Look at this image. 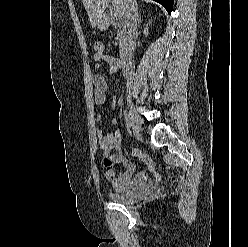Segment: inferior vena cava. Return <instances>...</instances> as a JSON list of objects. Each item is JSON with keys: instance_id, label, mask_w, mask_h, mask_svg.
<instances>
[{"instance_id": "602c4592", "label": "inferior vena cava", "mask_w": 248, "mask_h": 247, "mask_svg": "<svg viewBox=\"0 0 248 247\" xmlns=\"http://www.w3.org/2000/svg\"><path fill=\"white\" fill-rule=\"evenodd\" d=\"M136 0H124L125 23L128 27V34L131 38V48L134 51L135 36L137 34V9Z\"/></svg>"}]
</instances>
